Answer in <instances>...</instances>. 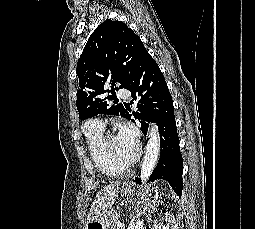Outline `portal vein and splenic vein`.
Returning a JSON list of instances; mask_svg holds the SVG:
<instances>
[{
	"label": "portal vein and splenic vein",
	"mask_w": 255,
	"mask_h": 229,
	"mask_svg": "<svg viewBox=\"0 0 255 229\" xmlns=\"http://www.w3.org/2000/svg\"><path fill=\"white\" fill-rule=\"evenodd\" d=\"M125 225L123 224V223H119L118 224V227H120V228H122V227H124Z\"/></svg>",
	"instance_id": "18ae733b"
}]
</instances>
